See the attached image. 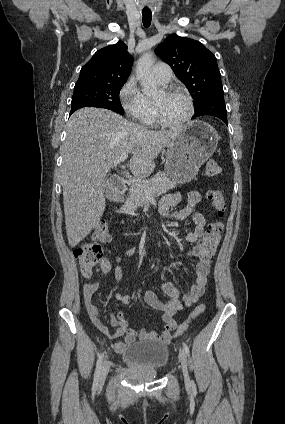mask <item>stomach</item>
I'll return each mask as SVG.
<instances>
[{
	"label": "stomach",
	"mask_w": 285,
	"mask_h": 424,
	"mask_svg": "<svg viewBox=\"0 0 285 424\" xmlns=\"http://www.w3.org/2000/svg\"><path fill=\"white\" fill-rule=\"evenodd\" d=\"M218 133L204 121H192L168 145L165 173L178 184L191 181L215 152Z\"/></svg>",
	"instance_id": "stomach-1"
}]
</instances>
